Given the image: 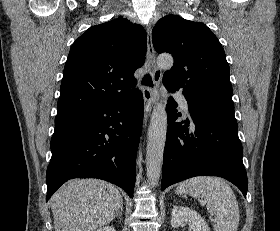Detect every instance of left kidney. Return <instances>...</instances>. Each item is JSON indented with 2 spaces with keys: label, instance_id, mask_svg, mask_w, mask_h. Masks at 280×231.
Listing matches in <instances>:
<instances>
[{
  "label": "left kidney",
  "instance_id": "obj_1",
  "mask_svg": "<svg viewBox=\"0 0 280 231\" xmlns=\"http://www.w3.org/2000/svg\"><path fill=\"white\" fill-rule=\"evenodd\" d=\"M183 223H188L193 231H210L205 219L197 211H193L189 207L174 205L171 211V225L172 227H179Z\"/></svg>",
  "mask_w": 280,
  "mask_h": 231
}]
</instances>
